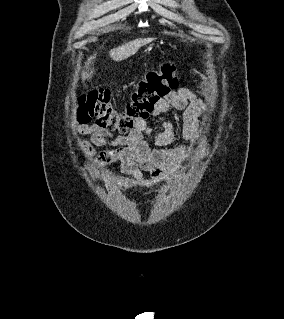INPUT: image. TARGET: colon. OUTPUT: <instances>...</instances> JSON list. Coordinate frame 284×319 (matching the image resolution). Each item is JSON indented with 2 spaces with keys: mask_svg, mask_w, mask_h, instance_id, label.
Returning <instances> with one entry per match:
<instances>
[{
  "mask_svg": "<svg viewBox=\"0 0 284 319\" xmlns=\"http://www.w3.org/2000/svg\"><path fill=\"white\" fill-rule=\"evenodd\" d=\"M177 68L165 62L139 80L125 105L118 109L107 90H94L79 98L76 109L80 124L95 120L104 129L128 133L135 125L148 118L160 99L179 87Z\"/></svg>",
  "mask_w": 284,
  "mask_h": 319,
  "instance_id": "colon-1",
  "label": "colon"
}]
</instances>
